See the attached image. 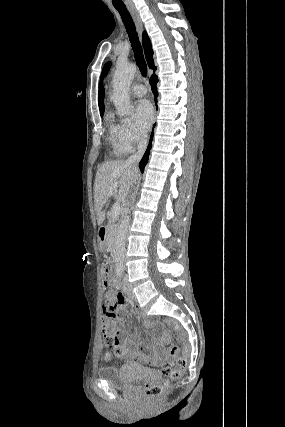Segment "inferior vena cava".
Returning <instances> with one entry per match:
<instances>
[{"label":"inferior vena cava","instance_id":"602c4592","mask_svg":"<svg viewBox=\"0 0 285 427\" xmlns=\"http://www.w3.org/2000/svg\"><path fill=\"white\" fill-rule=\"evenodd\" d=\"M147 148V135H141L138 143V151L134 155L130 156L126 163L131 165L135 171H138V163L143 157Z\"/></svg>","mask_w":285,"mask_h":427}]
</instances>
